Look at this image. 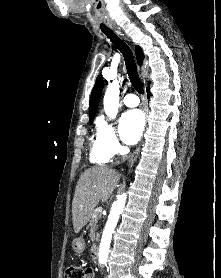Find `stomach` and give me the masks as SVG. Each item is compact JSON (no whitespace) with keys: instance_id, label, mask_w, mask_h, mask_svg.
<instances>
[{"instance_id":"0dacf381","label":"stomach","mask_w":221,"mask_h":278,"mask_svg":"<svg viewBox=\"0 0 221 278\" xmlns=\"http://www.w3.org/2000/svg\"><path fill=\"white\" fill-rule=\"evenodd\" d=\"M72 248L75 251V253L80 254L84 251L85 245L82 238H76L72 242Z\"/></svg>"}]
</instances>
